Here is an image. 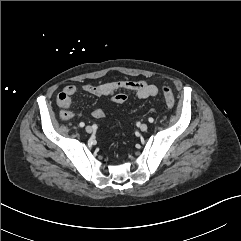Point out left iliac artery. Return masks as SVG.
Wrapping results in <instances>:
<instances>
[{
    "mask_svg": "<svg viewBox=\"0 0 241 241\" xmlns=\"http://www.w3.org/2000/svg\"><path fill=\"white\" fill-rule=\"evenodd\" d=\"M148 121H149L150 123H153V122H154V119H153L152 117H150V118L148 119Z\"/></svg>",
    "mask_w": 241,
    "mask_h": 241,
    "instance_id": "obj_1",
    "label": "left iliac artery"
}]
</instances>
